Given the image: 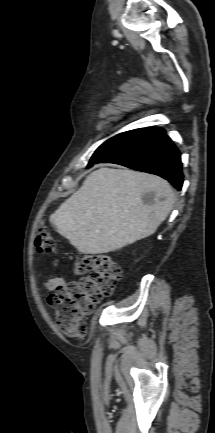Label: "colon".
Segmentation results:
<instances>
[{"label": "colon", "mask_w": 215, "mask_h": 433, "mask_svg": "<svg viewBox=\"0 0 215 433\" xmlns=\"http://www.w3.org/2000/svg\"><path fill=\"white\" fill-rule=\"evenodd\" d=\"M35 246L41 253L56 251V242L44 222L37 226ZM75 273L81 279L58 287L48 301L59 329L70 336H83L87 330V318L99 301L112 293L121 270L108 253H96L77 256Z\"/></svg>", "instance_id": "1"}]
</instances>
